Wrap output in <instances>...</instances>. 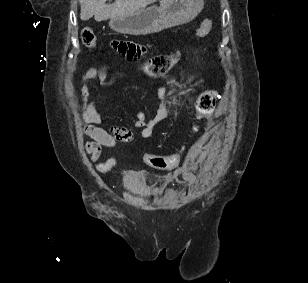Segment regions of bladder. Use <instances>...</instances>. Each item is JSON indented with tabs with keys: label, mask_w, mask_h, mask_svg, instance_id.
<instances>
[{
	"label": "bladder",
	"mask_w": 308,
	"mask_h": 283,
	"mask_svg": "<svg viewBox=\"0 0 308 283\" xmlns=\"http://www.w3.org/2000/svg\"><path fill=\"white\" fill-rule=\"evenodd\" d=\"M124 187L131 193H139L142 182L137 174H126L123 180Z\"/></svg>",
	"instance_id": "obj_1"
}]
</instances>
